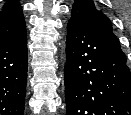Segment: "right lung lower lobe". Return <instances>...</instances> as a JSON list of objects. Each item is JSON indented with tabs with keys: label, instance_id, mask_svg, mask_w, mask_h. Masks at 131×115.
I'll return each instance as SVG.
<instances>
[{
	"label": "right lung lower lobe",
	"instance_id": "obj_1",
	"mask_svg": "<svg viewBox=\"0 0 131 115\" xmlns=\"http://www.w3.org/2000/svg\"><path fill=\"white\" fill-rule=\"evenodd\" d=\"M27 69L26 35L0 48V115H23Z\"/></svg>",
	"mask_w": 131,
	"mask_h": 115
}]
</instances>
